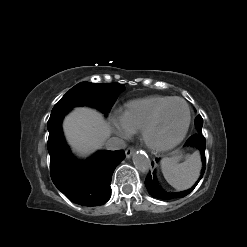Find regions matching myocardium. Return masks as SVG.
Here are the masks:
<instances>
[{
    "label": "myocardium",
    "instance_id": "myocardium-1",
    "mask_svg": "<svg viewBox=\"0 0 247 247\" xmlns=\"http://www.w3.org/2000/svg\"><path fill=\"white\" fill-rule=\"evenodd\" d=\"M182 102L187 110V119H186V123L185 126L182 130V132L174 139L170 140V141H166V142H157L154 141L151 138V131L153 130L154 126L156 125L160 115L162 114V112L164 111V109L170 105L173 102ZM191 124V109L189 104L180 97H172L171 99L167 100L166 102H164L162 105H160L156 111L153 113V115L151 116V118L149 119V121L146 123V125L143 127L142 129V140L145 143V145L150 148L153 151H157V152H161V151H166L169 149H172L173 147L177 146L187 135L189 127Z\"/></svg>",
    "mask_w": 247,
    "mask_h": 247
}]
</instances>
